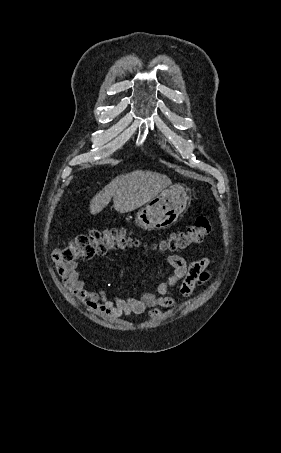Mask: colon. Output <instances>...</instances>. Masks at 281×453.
<instances>
[{
    "mask_svg": "<svg viewBox=\"0 0 281 453\" xmlns=\"http://www.w3.org/2000/svg\"><path fill=\"white\" fill-rule=\"evenodd\" d=\"M211 221L206 216L196 219L186 230H169L163 233L161 247L154 246L152 253L159 255L162 251L185 252L190 247L201 243L211 231ZM139 232L134 226H97L88 233L73 237L63 251L62 258L66 262L89 261L95 257H103L111 250L121 246V241Z\"/></svg>",
    "mask_w": 281,
    "mask_h": 453,
    "instance_id": "5ec220e1",
    "label": "colon"
}]
</instances>
